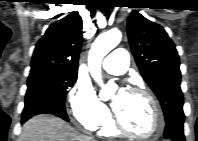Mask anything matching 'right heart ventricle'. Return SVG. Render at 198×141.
Listing matches in <instances>:
<instances>
[{"label": "right heart ventricle", "mask_w": 198, "mask_h": 141, "mask_svg": "<svg viewBox=\"0 0 198 141\" xmlns=\"http://www.w3.org/2000/svg\"><path fill=\"white\" fill-rule=\"evenodd\" d=\"M116 133V129L114 125L111 122H106L104 125H102L101 134L106 136H111Z\"/></svg>", "instance_id": "obj_1"}]
</instances>
